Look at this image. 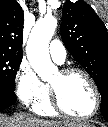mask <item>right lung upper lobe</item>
<instances>
[{
  "label": "right lung upper lobe",
  "instance_id": "cb5924a9",
  "mask_svg": "<svg viewBox=\"0 0 108 127\" xmlns=\"http://www.w3.org/2000/svg\"><path fill=\"white\" fill-rule=\"evenodd\" d=\"M24 14L16 0L0 1V52L22 56Z\"/></svg>",
  "mask_w": 108,
  "mask_h": 127
}]
</instances>
